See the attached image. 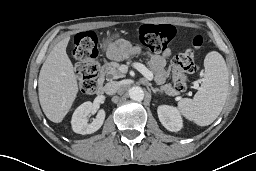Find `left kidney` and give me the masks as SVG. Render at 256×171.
<instances>
[{
    "mask_svg": "<svg viewBox=\"0 0 256 171\" xmlns=\"http://www.w3.org/2000/svg\"><path fill=\"white\" fill-rule=\"evenodd\" d=\"M157 113L160 122L167 130L177 132L183 127V120L175 107L161 105L158 107Z\"/></svg>",
    "mask_w": 256,
    "mask_h": 171,
    "instance_id": "obj_1",
    "label": "left kidney"
}]
</instances>
